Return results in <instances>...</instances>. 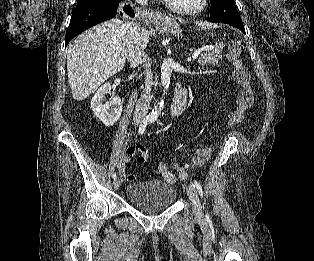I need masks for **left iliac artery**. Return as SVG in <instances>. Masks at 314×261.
<instances>
[{
	"instance_id": "obj_1",
	"label": "left iliac artery",
	"mask_w": 314,
	"mask_h": 261,
	"mask_svg": "<svg viewBox=\"0 0 314 261\" xmlns=\"http://www.w3.org/2000/svg\"><path fill=\"white\" fill-rule=\"evenodd\" d=\"M154 121H155L154 119H151V120H150L151 123H153ZM193 185H194V187L197 188V190H198L200 196H201L202 198H204L203 190H202V187H201L200 183L197 182L196 180H194V181H193Z\"/></svg>"
}]
</instances>
